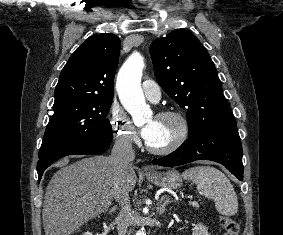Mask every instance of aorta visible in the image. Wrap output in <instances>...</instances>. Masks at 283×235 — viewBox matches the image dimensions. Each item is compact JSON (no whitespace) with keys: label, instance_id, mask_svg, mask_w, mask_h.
<instances>
[{"label":"aorta","instance_id":"762f6f07","mask_svg":"<svg viewBox=\"0 0 283 235\" xmlns=\"http://www.w3.org/2000/svg\"><path fill=\"white\" fill-rule=\"evenodd\" d=\"M144 66V58L133 53L119 70L116 82L120 101L136 124L151 115L140 86ZM135 235H146L145 228H140Z\"/></svg>","mask_w":283,"mask_h":235}]
</instances>
